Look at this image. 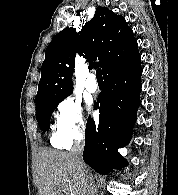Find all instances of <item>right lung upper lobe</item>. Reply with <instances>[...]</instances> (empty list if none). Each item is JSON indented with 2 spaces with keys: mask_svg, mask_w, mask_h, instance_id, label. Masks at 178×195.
<instances>
[{
  "mask_svg": "<svg viewBox=\"0 0 178 195\" xmlns=\"http://www.w3.org/2000/svg\"><path fill=\"white\" fill-rule=\"evenodd\" d=\"M76 53L89 62L97 58L104 78L128 69L140 60L133 31L122 16L98 6L94 17L80 32L65 28L45 51L41 79L36 95V107L49 101L66 98L73 91L72 74Z\"/></svg>",
  "mask_w": 178,
  "mask_h": 195,
  "instance_id": "cb5924a9",
  "label": "right lung upper lobe"
}]
</instances>
